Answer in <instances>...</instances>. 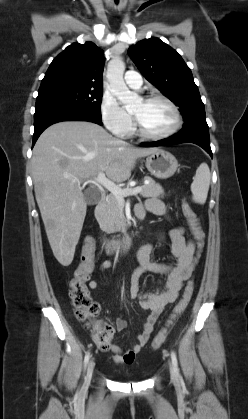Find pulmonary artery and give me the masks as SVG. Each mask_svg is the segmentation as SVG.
Here are the masks:
<instances>
[{
	"instance_id": "obj_1",
	"label": "pulmonary artery",
	"mask_w": 248,
	"mask_h": 419,
	"mask_svg": "<svg viewBox=\"0 0 248 419\" xmlns=\"http://www.w3.org/2000/svg\"><path fill=\"white\" fill-rule=\"evenodd\" d=\"M124 81L130 88L139 89L142 86V77L137 71H127Z\"/></svg>"
}]
</instances>
